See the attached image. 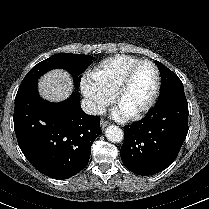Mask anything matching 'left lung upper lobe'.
<instances>
[{"instance_id":"5c2ea615","label":"left lung upper lobe","mask_w":209,"mask_h":209,"mask_svg":"<svg viewBox=\"0 0 209 209\" xmlns=\"http://www.w3.org/2000/svg\"><path fill=\"white\" fill-rule=\"evenodd\" d=\"M156 65L161 75L160 96L173 90H184L183 83L175 73L158 61H156Z\"/></svg>"}]
</instances>
